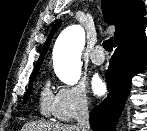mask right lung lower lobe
<instances>
[{
	"label": "right lung lower lobe",
	"mask_w": 147,
	"mask_h": 131,
	"mask_svg": "<svg viewBox=\"0 0 147 131\" xmlns=\"http://www.w3.org/2000/svg\"><path fill=\"white\" fill-rule=\"evenodd\" d=\"M115 52L106 71L108 96L90 114L93 131H115V126L131 88V79L147 61L145 28L114 44Z\"/></svg>",
	"instance_id": "obj_1"
}]
</instances>
